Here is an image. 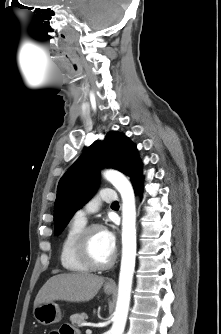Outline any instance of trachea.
<instances>
[{
	"mask_svg": "<svg viewBox=\"0 0 221 334\" xmlns=\"http://www.w3.org/2000/svg\"><path fill=\"white\" fill-rule=\"evenodd\" d=\"M112 205H118V202H117V201H115V202H113V203H112Z\"/></svg>",
	"mask_w": 221,
	"mask_h": 334,
	"instance_id": "1",
	"label": "trachea"
}]
</instances>
